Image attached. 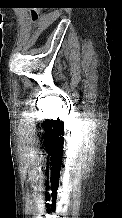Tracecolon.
Instances as JSON below:
<instances>
[{"label": "colon", "instance_id": "5ec220e1", "mask_svg": "<svg viewBox=\"0 0 122 218\" xmlns=\"http://www.w3.org/2000/svg\"><path fill=\"white\" fill-rule=\"evenodd\" d=\"M34 18H36L37 17V15L36 14H34V16H33Z\"/></svg>", "mask_w": 122, "mask_h": 218}]
</instances>
